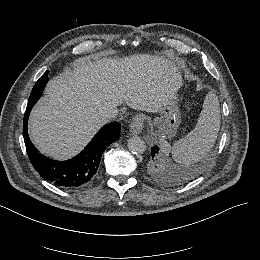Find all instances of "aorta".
<instances>
[{
    "label": "aorta",
    "instance_id": "obj_1",
    "mask_svg": "<svg viewBox=\"0 0 260 260\" xmlns=\"http://www.w3.org/2000/svg\"><path fill=\"white\" fill-rule=\"evenodd\" d=\"M128 149L133 154H143L146 150L145 141L139 136H133L128 140Z\"/></svg>",
    "mask_w": 260,
    "mask_h": 260
}]
</instances>
